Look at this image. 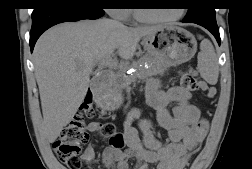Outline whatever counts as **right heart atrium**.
I'll return each mask as SVG.
<instances>
[{
    "mask_svg": "<svg viewBox=\"0 0 252 169\" xmlns=\"http://www.w3.org/2000/svg\"><path fill=\"white\" fill-rule=\"evenodd\" d=\"M108 12L118 20H127L129 17V10L123 8L108 9Z\"/></svg>",
    "mask_w": 252,
    "mask_h": 169,
    "instance_id": "1",
    "label": "right heart atrium"
}]
</instances>
